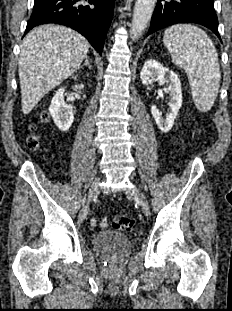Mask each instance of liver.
<instances>
[{
    "instance_id": "obj_1",
    "label": "liver",
    "mask_w": 232,
    "mask_h": 311,
    "mask_svg": "<svg viewBox=\"0 0 232 311\" xmlns=\"http://www.w3.org/2000/svg\"><path fill=\"white\" fill-rule=\"evenodd\" d=\"M88 50V41L67 27L43 25L29 32L18 63L23 113L79 69Z\"/></svg>"
}]
</instances>
